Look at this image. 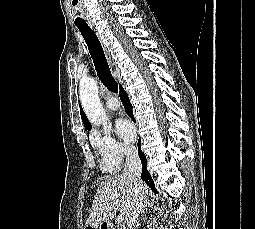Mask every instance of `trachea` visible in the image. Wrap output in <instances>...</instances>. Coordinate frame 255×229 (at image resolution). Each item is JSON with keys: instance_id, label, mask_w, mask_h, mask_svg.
Returning <instances> with one entry per match:
<instances>
[{"instance_id": "trachea-1", "label": "trachea", "mask_w": 255, "mask_h": 229, "mask_svg": "<svg viewBox=\"0 0 255 229\" xmlns=\"http://www.w3.org/2000/svg\"><path fill=\"white\" fill-rule=\"evenodd\" d=\"M81 32L87 46L89 53L93 59L97 75L103 85L111 92H118V83L113 79L109 65L107 63L102 45L96 33L89 27L86 22L75 24Z\"/></svg>"}]
</instances>
